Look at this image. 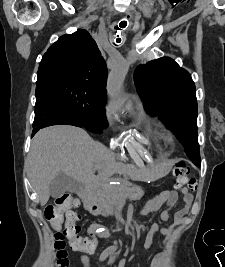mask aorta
I'll return each instance as SVG.
<instances>
[{"label": "aorta", "mask_w": 225, "mask_h": 267, "mask_svg": "<svg viewBox=\"0 0 225 267\" xmlns=\"http://www.w3.org/2000/svg\"><path fill=\"white\" fill-rule=\"evenodd\" d=\"M129 69V63L124 60H118L112 67L107 83L108 95L111 97L113 102L119 104L120 99V89L124 80V77Z\"/></svg>", "instance_id": "1"}]
</instances>
